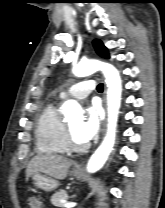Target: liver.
I'll list each match as a JSON object with an SVG mask.
<instances>
[{
    "mask_svg": "<svg viewBox=\"0 0 165 208\" xmlns=\"http://www.w3.org/2000/svg\"><path fill=\"white\" fill-rule=\"evenodd\" d=\"M72 164V160L59 155L38 154L29 162L26 175L30 177L33 173H44L48 177L63 180L67 177L68 170Z\"/></svg>",
    "mask_w": 165,
    "mask_h": 208,
    "instance_id": "6515ba94",
    "label": "liver"
}]
</instances>
